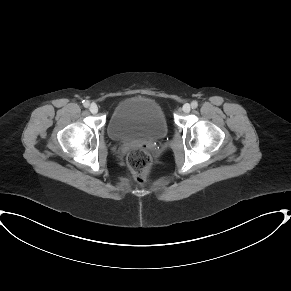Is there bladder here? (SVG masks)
Segmentation results:
<instances>
[{"instance_id": "31cf9c89", "label": "bladder", "mask_w": 291, "mask_h": 291, "mask_svg": "<svg viewBox=\"0 0 291 291\" xmlns=\"http://www.w3.org/2000/svg\"><path fill=\"white\" fill-rule=\"evenodd\" d=\"M107 131L111 138L125 143L158 141L167 135L168 124L158 102L149 97L131 96L117 104Z\"/></svg>"}]
</instances>
